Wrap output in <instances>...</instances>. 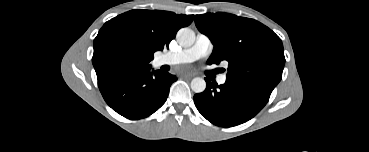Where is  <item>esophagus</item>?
Returning a JSON list of instances; mask_svg holds the SVG:
<instances>
[{"mask_svg":"<svg viewBox=\"0 0 369 152\" xmlns=\"http://www.w3.org/2000/svg\"><path fill=\"white\" fill-rule=\"evenodd\" d=\"M195 76L194 73H186L183 74V78L192 79Z\"/></svg>","mask_w":369,"mask_h":152,"instance_id":"1","label":"esophagus"}]
</instances>
